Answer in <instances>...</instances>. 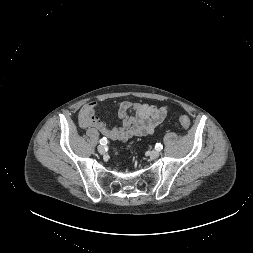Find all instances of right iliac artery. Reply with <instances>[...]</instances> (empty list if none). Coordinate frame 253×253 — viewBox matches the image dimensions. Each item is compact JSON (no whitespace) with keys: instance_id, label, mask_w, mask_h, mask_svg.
<instances>
[{"instance_id":"obj_1","label":"right iliac artery","mask_w":253,"mask_h":253,"mask_svg":"<svg viewBox=\"0 0 253 253\" xmlns=\"http://www.w3.org/2000/svg\"><path fill=\"white\" fill-rule=\"evenodd\" d=\"M100 144L101 145H106L107 144V139L105 137L100 139Z\"/></svg>"}]
</instances>
